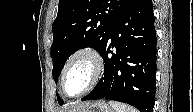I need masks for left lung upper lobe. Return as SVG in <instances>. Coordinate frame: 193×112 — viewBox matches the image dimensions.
I'll return each mask as SVG.
<instances>
[{
  "mask_svg": "<svg viewBox=\"0 0 193 112\" xmlns=\"http://www.w3.org/2000/svg\"><path fill=\"white\" fill-rule=\"evenodd\" d=\"M133 0H59L52 25L53 78L55 82L70 55L92 47L99 53L110 31ZM60 105L63 100L57 95Z\"/></svg>",
  "mask_w": 193,
  "mask_h": 112,
  "instance_id": "obj_1",
  "label": "left lung upper lobe"
}]
</instances>
